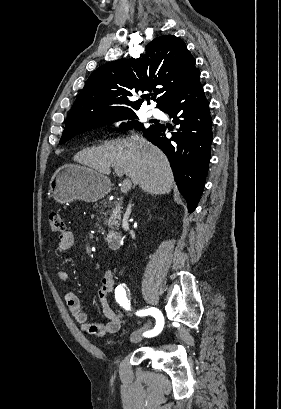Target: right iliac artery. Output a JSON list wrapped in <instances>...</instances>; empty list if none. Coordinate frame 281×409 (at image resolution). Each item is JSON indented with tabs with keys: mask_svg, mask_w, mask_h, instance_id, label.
Instances as JSON below:
<instances>
[{
	"mask_svg": "<svg viewBox=\"0 0 281 409\" xmlns=\"http://www.w3.org/2000/svg\"><path fill=\"white\" fill-rule=\"evenodd\" d=\"M115 299L117 303L125 309L130 307V291L125 287V284H120L115 290ZM139 316L152 315L156 319V326L153 330L144 333L146 337H152L161 332L164 325V319L162 313L154 307L149 309L140 310L137 312Z\"/></svg>",
	"mask_w": 281,
	"mask_h": 409,
	"instance_id": "obj_1",
	"label": "right iliac artery"
}]
</instances>
